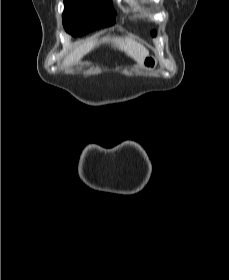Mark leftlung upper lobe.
<instances>
[{"mask_svg":"<svg viewBox=\"0 0 229 280\" xmlns=\"http://www.w3.org/2000/svg\"><path fill=\"white\" fill-rule=\"evenodd\" d=\"M151 35H152L153 37H155V36H156V31H152V32H151Z\"/></svg>","mask_w":229,"mask_h":280,"instance_id":"5c2ea615","label":"left lung upper lobe"}]
</instances>
